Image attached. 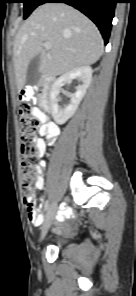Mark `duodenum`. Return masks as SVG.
Returning a JSON list of instances; mask_svg holds the SVG:
<instances>
[{
  "label": "duodenum",
  "instance_id": "1",
  "mask_svg": "<svg viewBox=\"0 0 136 296\" xmlns=\"http://www.w3.org/2000/svg\"><path fill=\"white\" fill-rule=\"evenodd\" d=\"M55 78L53 76H46L43 78L40 85V106L42 109L49 111L51 108L50 90Z\"/></svg>",
  "mask_w": 136,
  "mask_h": 296
}]
</instances>
